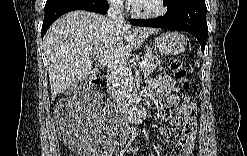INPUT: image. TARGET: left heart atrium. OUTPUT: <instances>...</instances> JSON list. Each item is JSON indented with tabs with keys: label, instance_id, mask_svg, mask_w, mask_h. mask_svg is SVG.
<instances>
[{
	"label": "left heart atrium",
	"instance_id": "39dd6f15",
	"mask_svg": "<svg viewBox=\"0 0 247 156\" xmlns=\"http://www.w3.org/2000/svg\"><path fill=\"white\" fill-rule=\"evenodd\" d=\"M137 2H138V1H136V0L130 1L131 4H135V3H137Z\"/></svg>",
	"mask_w": 247,
	"mask_h": 156
}]
</instances>
